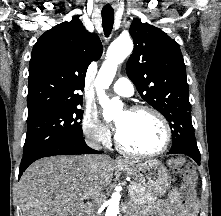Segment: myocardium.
Returning <instances> with one entry per match:
<instances>
[{
    "mask_svg": "<svg viewBox=\"0 0 221 216\" xmlns=\"http://www.w3.org/2000/svg\"><path fill=\"white\" fill-rule=\"evenodd\" d=\"M128 112L133 113V114L149 113V114H152L153 116H155L159 120V122L161 123V125L164 129V135H165L164 142L158 150H155L152 152H138V151H134V150H131V149L125 147L121 143V141L118 137V134H117L116 138H115L117 149L128 156L141 157V158L155 157V156H158V155L164 153L168 149V147L170 146L171 141H172L171 127H170L167 119L164 117V115L160 111H158L156 108L148 106V105L133 106Z\"/></svg>",
    "mask_w": 221,
    "mask_h": 216,
    "instance_id": "f54148a6",
    "label": "myocardium"
}]
</instances>
